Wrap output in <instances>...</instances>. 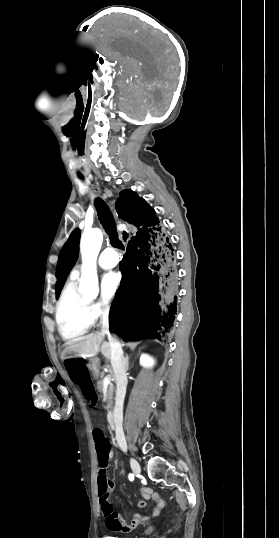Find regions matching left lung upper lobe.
<instances>
[{
	"label": "left lung upper lobe",
	"instance_id": "5c2ea615",
	"mask_svg": "<svg viewBox=\"0 0 279 538\" xmlns=\"http://www.w3.org/2000/svg\"><path fill=\"white\" fill-rule=\"evenodd\" d=\"M80 234V230L76 228L59 254L56 271V298L59 297L61 289L66 281V277L78 259Z\"/></svg>",
	"mask_w": 279,
	"mask_h": 538
}]
</instances>
